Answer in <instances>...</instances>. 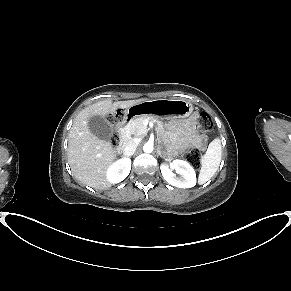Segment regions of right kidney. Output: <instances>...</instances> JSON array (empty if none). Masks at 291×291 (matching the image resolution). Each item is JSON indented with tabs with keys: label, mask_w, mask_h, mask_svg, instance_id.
Here are the masks:
<instances>
[{
	"label": "right kidney",
	"mask_w": 291,
	"mask_h": 291,
	"mask_svg": "<svg viewBox=\"0 0 291 291\" xmlns=\"http://www.w3.org/2000/svg\"><path fill=\"white\" fill-rule=\"evenodd\" d=\"M130 170L131 160L129 158L119 159L107 168V180L112 184L119 183L129 175Z\"/></svg>",
	"instance_id": "1"
}]
</instances>
